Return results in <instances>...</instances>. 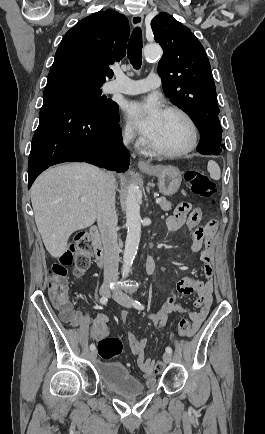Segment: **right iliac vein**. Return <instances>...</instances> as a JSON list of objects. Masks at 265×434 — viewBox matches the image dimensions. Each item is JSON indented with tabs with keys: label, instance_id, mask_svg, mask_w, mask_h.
Instances as JSON below:
<instances>
[{
	"label": "right iliac vein",
	"instance_id": "obj_1",
	"mask_svg": "<svg viewBox=\"0 0 265 434\" xmlns=\"http://www.w3.org/2000/svg\"><path fill=\"white\" fill-rule=\"evenodd\" d=\"M111 290L108 288V286H102L100 288V295L108 298L110 295ZM97 356V351L96 350H92L91 352H89V359L90 360H94Z\"/></svg>",
	"mask_w": 265,
	"mask_h": 434
}]
</instances>
